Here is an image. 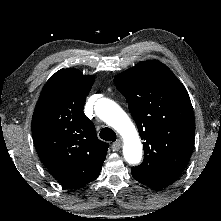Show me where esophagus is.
<instances>
[{
    "label": "esophagus",
    "instance_id": "esophagus-1",
    "mask_svg": "<svg viewBox=\"0 0 221 221\" xmlns=\"http://www.w3.org/2000/svg\"><path fill=\"white\" fill-rule=\"evenodd\" d=\"M121 147V140H117L112 144L113 151H118Z\"/></svg>",
    "mask_w": 221,
    "mask_h": 221
}]
</instances>
